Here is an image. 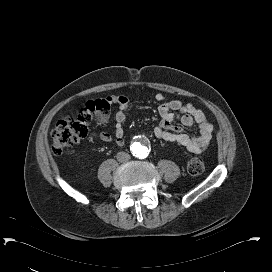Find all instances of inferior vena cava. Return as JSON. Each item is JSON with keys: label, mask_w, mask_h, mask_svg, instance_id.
<instances>
[{"label": "inferior vena cava", "mask_w": 272, "mask_h": 272, "mask_svg": "<svg viewBox=\"0 0 272 272\" xmlns=\"http://www.w3.org/2000/svg\"><path fill=\"white\" fill-rule=\"evenodd\" d=\"M116 157L121 163L127 162L130 159V155L126 152H118Z\"/></svg>", "instance_id": "obj_1"}]
</instances>
